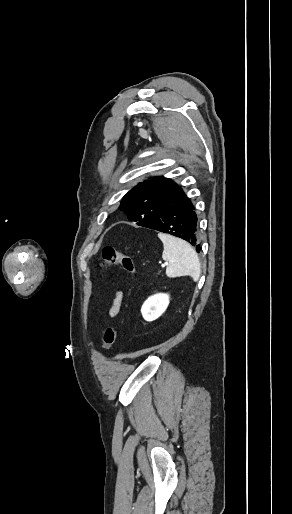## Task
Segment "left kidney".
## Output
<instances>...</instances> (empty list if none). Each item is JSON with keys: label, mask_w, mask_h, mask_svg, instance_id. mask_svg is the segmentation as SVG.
Segmentation results:
<instances>
[{"label": "left kidney", "mask_w": 292, "mask_h": 514, "mask_svg": "<svg viewBox=\"0 0 292 514\" xmlns=\"http://www.w3.org/2000/svg\"><path fill=\"white\" fill-rule=\"evenodd\" d=\"M168 306L169 296H167V294H155V296H150V298L144 302L141 308V314L144 320L153 322V320H157V318L165 312Z\"/></svg>", "instance_id": "left-kidney-1"}]
</instances>
